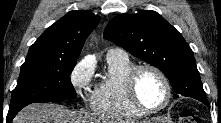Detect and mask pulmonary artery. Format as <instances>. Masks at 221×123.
Listing matches in <instances>:
<instances>
[{
    "label": "pulmonary artery",
    "instance_id": "obj_1",
    "mask_svg": "<svg viewBox=\"0 0 221 123\" xmlns=\"http://www.w3.org/2000/svg\"><path fill=\"white\" fill-rule=\"evenodd\" d=\"M110 58H128L126 52H124L121 49H117V48H112L109 49L107 52V59Z\"/></svg>",
    "mask_w": 221,
    "mask_h": 123
}]
</instances>
